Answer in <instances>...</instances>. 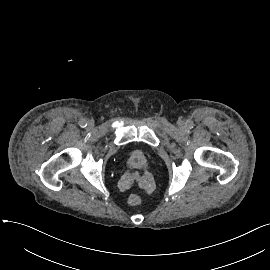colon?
<instances>
[{
    "label": "colon",
    "mask_w": 270,
    "mask_h": 270,
    "mask_svg": "<svg viewBox=\"0 0 270 270\" xmlns=\"http://www.w3.org/2000/svg\"><path fill=\"white\" fill-rule=\"evenodd\" d=\"M143 198L144 195L142 192L135 191L129 194L127 197V203L132 206L139 205L143 201Z\"/></svg>",
    "instance_id": "colon-1"
}]
</instances>
